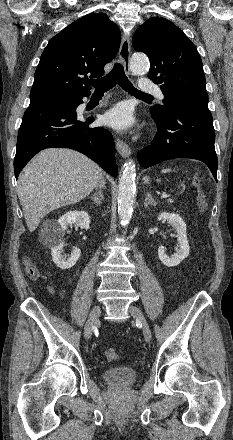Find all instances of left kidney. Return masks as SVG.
<instances>
[{"label": "left kidney", "instance_id": "obj_1", "mask_svg": "<svg viewBox=\"0 0 233 440\" xmlns=\"http://www.w3.org/2000/svg\"><path fill=\"white\" fill-rule=\"evenodd\" d=\"M158 220H167L177 233L178 246L176 253L167 255L165 247H158V256L161 262L167 267H174L179 265L189 255V243L186 235V224L183 219L175 213L163 212L159 214Z\"/></svg>", "mask_w": 233, "mask_h": 440}]
</instances>
